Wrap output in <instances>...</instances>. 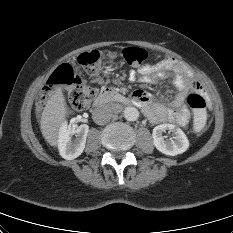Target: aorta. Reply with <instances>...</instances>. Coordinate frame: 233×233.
<instances>
[{
	"mask_svg": "<svg viewBox=\"0 0 233 233\" xmlns=\"http://www.w3.org/2000/svg\"><path fill=\"white\" fill-rule=\"evenodd\" d=\"M123 114L128 121H136L139 118V111L135 107H126Z\"/></svg>",
	"mask_w": 233,
	"mask_h": 233,
	"instance_id": "762f6f07",
	"label": "aorta"
}]
</instances>
